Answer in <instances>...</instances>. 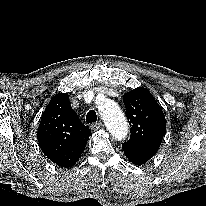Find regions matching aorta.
<instances>
[{"instance_id":"762f6f07","label":"aorta","mask_w":206,"mask_h":206,"mask_svg":"<svg viewBox=\"0 0 206 206\" xmlns=\"http://www.w3.org/2000/svg\"><path fill=\"white\" fill-rule=\"evenodd\" d=\"M109 132L116 140H124L128 135V123L119 106L112 100L104 99L98 105Z\"/></svg>"}]
</instances>
